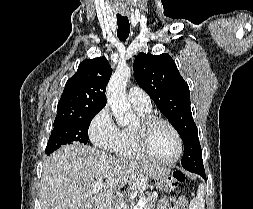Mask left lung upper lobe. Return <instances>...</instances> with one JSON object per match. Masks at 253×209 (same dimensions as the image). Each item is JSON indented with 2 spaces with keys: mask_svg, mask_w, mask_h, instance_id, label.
I'll return each mask as SVG.
<instances>
[{
  "mask_svg": "<svg viewBox=\"0 0 253 209\" xmlns=\"http://www.w3.org/2000/svg\"><path fill=\"white\" fill-rule=\"evenodd\" d=\"M138 85L155 102L184 142L183 168L194 170L203 164L198 129L192 118L190 91L173 59L166 53H139L133 64Z\"/></svg>",
  "mask_w": 253,
  "mask_h": 209,
  "instance_id": "5c2ea615",
  "label": "left lung upper lobe"
}]
</instances>
